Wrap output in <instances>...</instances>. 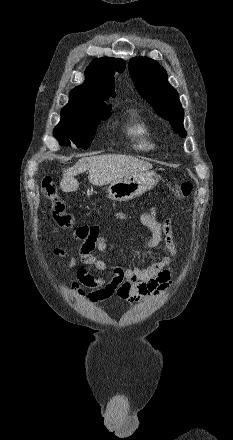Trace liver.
Returning <instances> with one entry per match:
<instances>
[{
    "label": "liver",
    "instance_id": "1",
    "mask_svg": "<svg viewBox=\"0 0 233 440\" xmlns=\"http://www.w3.org/2000/svg\"><path fill=\"white\" fill-rule=\"evenodd\" d=\"M152 169V164L126 155H97L83 157L77 163L64 169L60 188L64 192L78 190L76 175L89 171L88 179L96 186L113 183L134 173H142Z\"/></svg>",
    "mask_w": 233,
    "mask_h": 440
}]
</instances>
